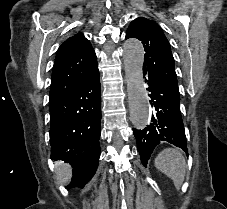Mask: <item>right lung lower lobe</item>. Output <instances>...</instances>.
Returning <instances> with one entry per match:
<instances>
[{"label":"right lung lower lobe","mask_w":227,"mask_h":209,"mask_svg":"<svg viewBox=\"0 0 227 209\" xmlns=\"http://www.w3.org/2000/svg\"><path fill=\"white\" fill-rule=\"evenodd\" d=\"M83 81L60 98L49 101L51 159L73 167L68 189L84 187L94 176L100 157L101 94L98 65L71 68L87 72Z\"/></svg>","instance_id":"right-lung-lower-lobe-1"}]
</instances>
